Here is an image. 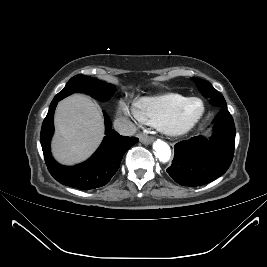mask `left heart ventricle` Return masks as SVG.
<instances>
[{
	"label": "left heart ventricle",
	"instance_id": "left-heart-ventricle-1",
	"mask_svg": "<svg viewBox=\"0 0 267 267\" xmlns=\"http://www.w3.org/2000/svg\"><path fill=\"white\" fill-rule=\"evenodd\" d=\"M201 111V103L197 100L189 102L181 112L177 123L184 125L194 120Z\"/></svg>",
	"mask_w": 267,
	"mask_h": 267
}]
</instances>
